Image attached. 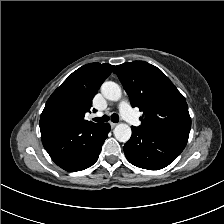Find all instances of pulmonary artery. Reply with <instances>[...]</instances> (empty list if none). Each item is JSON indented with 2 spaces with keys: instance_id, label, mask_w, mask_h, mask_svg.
Here are the masks:
<instances>
[{
  "instance_id": "obj_1",
  "label": "pulmonary artery",
  "mask_w": 224,
  "mask_h": 224,
  "mask_svg": "<svg viewBox=\"0 0 224 224\" xmlns=\"http://www.w3.org/2000/svg\"><path fill=\"white\" fill-rule=\"evenodd\" d=\"M119 110L122 116L129 122V124L135 127L140 125L139 119L137 118L127 101L124 100L119 104Z\"/></svg>"
}]
</instances>
